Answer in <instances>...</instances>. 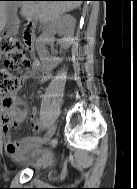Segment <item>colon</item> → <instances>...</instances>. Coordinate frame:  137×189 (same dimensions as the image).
<instances>
[{
	"instance_id": "1",
	"label": "colon",
	"mask_w": 137,
	"mask_h": 189,
	"mask_svg": "<svg viewBox=\"0 0 137 189\" xmlns=\"http://www.w3.org/2000/svg\"><path fill=\"white\" fill-rule=\"evenodd\" d=\"M0 58L4 62V67L0 68V103L9 105L11 95L21 85L16 72L29 69L32 62L27 58L20 39L6 33H0Z\"/></svg>"
}]
</instances>
